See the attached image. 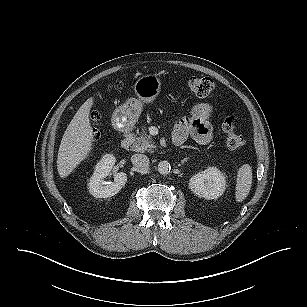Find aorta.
Returning a JSON list of instances; mask_svg holds the SVG:
<instances>
[{"label": "aorta", "mask_w": 307, "mask_h": 307, "mask_svg": "<svg viewBox=\"0 0 307 307\" xmlns=\"http://www.w3.org/2000/svg\"><path fill=\"white\" fill-rule=\"evenodd\" d=\"M171 165L168 161H161L158 164V172L161 175H167L170 173Z\"/></svg>", "instance_id": "762f6f07"}]
</instances>
